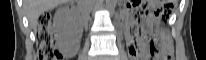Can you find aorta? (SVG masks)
<instances>
[{"label":"aorta","mask_w":206,"mask_h":60,"mask_svg":"<svg viewBox=\"0 0 206 60\" xmlns=\"http://www.w3.org/2000/svg\"><path fill=\"white\" fill-rule=\"evenodd\" d=\"M106 4L110 11H114L116 6V0H106Z\"/></svg>","instance_id":"1"}]
</instances>
